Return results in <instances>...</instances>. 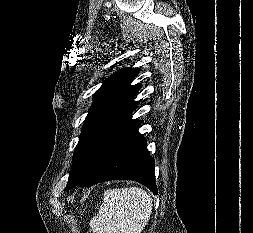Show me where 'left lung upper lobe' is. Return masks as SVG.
I'll list each match as a JSON object with an SVG mask.
<instances>
[{
    "label": "left lung upper lobe",
    "instance_id": "5c2ea615",
    "mask_svg": "<svg viewBox=\"0 0 253 233\" xmlns=\"http://www.w3.org/2000/svg\"><path fill=\"white\" fill-rule=\"evenodd\" d=\"M138 72V68H122L95 92L65 189L75 186L87 175L114 130L138 104L133 98L140 86L130 85Z\"/></svg>",
    "mask_w": 253,
    "mask_h": 233
}]
</instances>
